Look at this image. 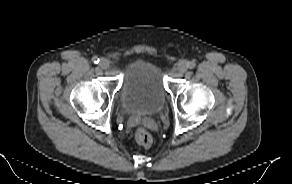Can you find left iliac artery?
<instances>
[{
	"label": "left iliac artery",
	"instance_id": "1",
	"mask_svg": "<svg viewBox=\"0 0 292 184\" xmlns=\"http://www.w3.org/2000/svg\"><path fill=\"white\" fill-rule=\"evenodd\" d=\"M187 66H188V68L193 69L196 66V63H195V61H190V62H188Z\"/></svg>",
	"mask_w": 292,
	"mask_h": 184
}]
</instances>
